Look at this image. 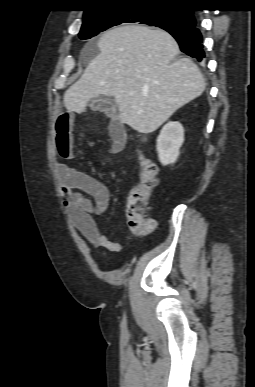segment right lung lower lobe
Returning a JSON list of instances; mask_svg holds the SVG:
<instances>
[{
  "label": "right lung lower lobe",
  "mask_w": 255,
  "mask_h": 387,
  "mask_svg": "<svg viewBox=\"0 0 255 387\" xmlns=\"http://www.w3.org/2000/svg\"><path fill=\"white\" fill-rule=\"evenodd\" d=\"M185 17L190 19L189 24L181 26L160 27L169 32L178 42L182 52L187 55L202 61L205 58L203 50L202 34L193 10L184 8L181 10Z\"/></svg>",
  "instance_id": "right-lung-lower-lobe-1"
}]
</instances>
